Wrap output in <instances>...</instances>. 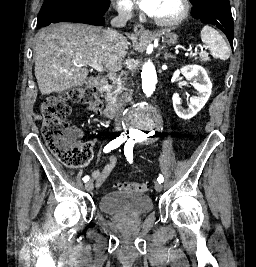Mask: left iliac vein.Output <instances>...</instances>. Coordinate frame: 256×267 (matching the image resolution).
<instances>
[{"label": "left iliac vein", "instance_id": "4c4485c4", "mask_svg": "<svg viewBox=\"0 0 256 267\" xmlns=\"http://www.w3.org/2000/svg\"><path fill=\"white\" fill-rule=\"evenodd\" d=\"M155 189L157 192H161L163 190V186L160 182L155 183Z\"/></svg>", "mask_w": 256, "mask_h": 267}]
</instances>
